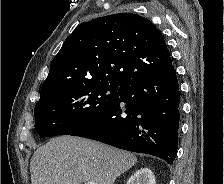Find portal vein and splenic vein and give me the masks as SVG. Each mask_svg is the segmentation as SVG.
Returning a JSON list of instances; mask_svg holds the SVG:
<instances>
[{
	"label": "portal vein and splenic vein",
	"mask_w": 224,
	"mask_h": 184,
	"mask_svg": "<svg viewBox=\"0 0 224 184\" xmlns=\"http://www.w3.org/2000/svg\"><path fill=\"white\" fill-rule=\"evenodd\" d=\"M86 184H95L93 181H89Z\"/></svg>",
	"instance_id": "18ae733b"
}]
</instances>
